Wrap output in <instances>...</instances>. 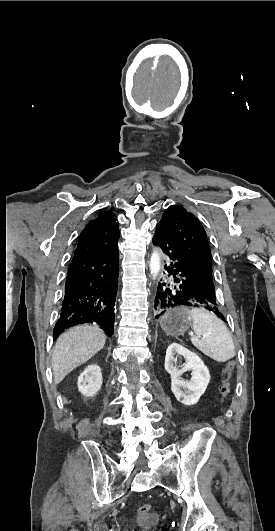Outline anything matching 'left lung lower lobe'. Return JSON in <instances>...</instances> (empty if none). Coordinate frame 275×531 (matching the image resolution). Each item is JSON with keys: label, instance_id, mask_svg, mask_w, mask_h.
I'll list each match as a JSON object with an SVG mask.
<instances>
[{"label": "left lung lower lobe", "instance_id": "1", "mask_svg": "<svg viewBox=\"0 0 275 531\" xmlns=\"http://www.w3.org/2000/svg\"><path fill=\"white\" fill-rule=\"evenodd\" d=\"M152 242L166 255L168 264H165L164 268L168 273L167 276L171 277L158 282L154 299L155 318L170 308L188 306L209 310L225 321L223 314L217 308L216 301L203 295L192 281L179 249L162 225H157Z\"/></svg>", "mask_w": 275, "mask_h": 531}]
</instances>
